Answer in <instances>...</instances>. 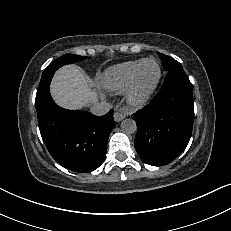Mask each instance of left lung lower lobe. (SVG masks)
<instances>
[{
	"mask_svg": "<svg viewBox=\"0 0 231 231\" xmlns=\"http://www.w3.org/2000/svg\"><path fill=\"white\" fill-rule=\"evenodd\" d=\"M137 124L134 146L142 160L166 165L185 149L192 133V84L182 66L168 71L160 92L133 114Z\"/></svg>",
	"mask_w": 231,
	"mask_h": 231,
	"instance_id": "left-lung-lower-lobe-1",
	"label": "left lung lower lobe"
}]
</instances>
